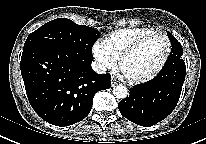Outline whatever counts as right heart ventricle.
<instances>
[{"mask_svg":"<svg viewBox=\"0 0 206 144\" xmlns=\"http://www.w3.org/2000/svg\"><path fill=\"white\" fill-rule=\"evenodd\" d=\"M155 32V30L145 27L124 28L108 34L104 39V42L111 53L119 59L125 49L139 39Z\"/></svg>","mask_w":206,"mask_h":144,"instance_id":"right-heart-ventricle-1","label":"right heart ventricle"}]
</instances>
